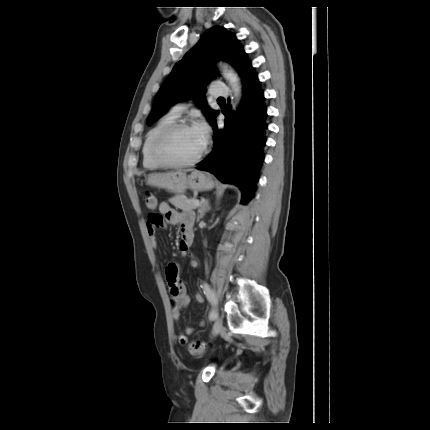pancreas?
Instances as JSON below:
<instances>
[{
  "label": "pancreas",
  "mask_w": 430,
  "mask_h": 430,
  "mask_svg": "<svg viewBox=\"0 0 430 430\" xmlns=\"http://www.w3.org/2000/svg\"><path fill=\"white\" fill-rule=\"evenodd\" d=\"M195 198H187L185 195H176L169 199V202L177 208L182 210H193L197 207L194 205L193 200Z\"/></svg>",
  "instance_id": "obj_1"
}]
</instances>
